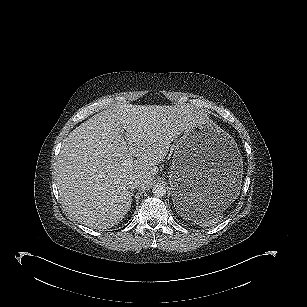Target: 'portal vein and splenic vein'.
Returning <instances> with one entry per match:
<instances>
[{
    "instance_id": "18ae733b",
    "label": "portal vein and splenic vein",
    "mask_w": 307,
    "mask_h": 307,
    "mask_svg": "<svg viewBox=\"0 0 307 307\" xmlns=\"http://www.w3.org/2000/svg\"><path fill=\"white\" fill-rule=\"evenodd\" d=\"M132 161H133V158H132V157H129V158L127 159V162H128V163H132Z\"/></svg>"
}]
</instances>
